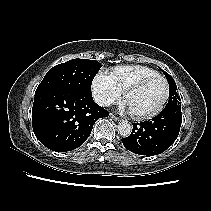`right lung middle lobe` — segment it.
I'll use <instances>...</instances> for the list:
<instances>
[{
    "label": "right lung middle lobe",
    "instance_id": "1",
    "mask_svg": "<svg viewBox=\"0 0 211 211\" xmlns=\"http://www.w3.org/2000/svg\"><path fill=\"white\" fill-rule=\"evenodd\" d=\"M101 64L96 60L72 59L51 68L36 89V93L68 89L91 92V84Z\"/></svg>",
    "mask_w": 211,
    "mask_h": 211
}]
</instances>
